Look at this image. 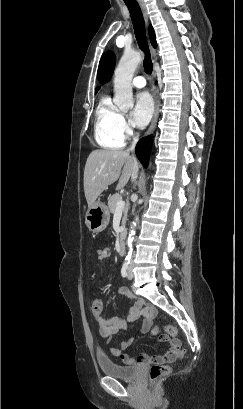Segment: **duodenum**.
<instances>
[{
    "instance_id": "1",
    "label": "duodenum",
    "mask_w": 243,
    "mask_h": 409,
    "mask_svg": "<svg viewBox=\"0 0 243 409\" xmlns=\"http://www.w3.org/2000/svg\"><path fill=\"white\" fill-rule=\"evenodd\" d=\"M118 252L120 255H124L126 252V245L124 241H121L119 246H118Z\"/></svg>"
}]
</instances>
